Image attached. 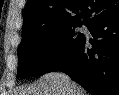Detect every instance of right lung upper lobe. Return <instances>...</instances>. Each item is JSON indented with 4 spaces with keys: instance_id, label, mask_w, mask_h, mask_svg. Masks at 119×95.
Masks as SVG:
<instances>
[{
    "instance_id": "obj_1",
    "label": "right lung upper lobe",
    "mask_w": 119,
    "mask_h": 95,
    "mask_svg": "<svg viewBox=\"0 0 119 95\" xmlns=\"http://www.w3.org/2000/svg\"><path fill=\"white\" fill-rule=\"evenodd\" d=\"M119 13V0H27L23 33L53 23H81L89 26Z\"/></svg>"
}]
</instances>
